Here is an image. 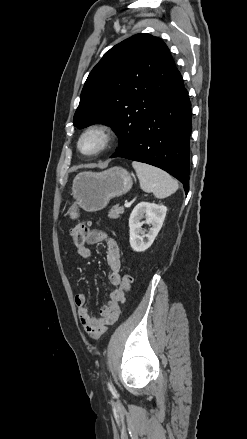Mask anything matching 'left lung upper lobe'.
I'll list each match as a JSON object with an SVG mask.
<instances>
[{
    "label": "left lung upper lobe",
    "mask_w": 247,
    "mask_h": 439,
    "mask_svg": "<svg viewBox=\"0 0 247 439\" xmlns=\"http://www.w3.org/2000/svg\"><path fill=\"white\" fill-rule=\"evenodd\" d=\"M181 79L160 38L134 35L112 47L92 69L73 124L80 129L94 123L110 125L123 150L160 97Z\"/></svg>",
    "instance_id": "left-lung-upper-lobe-1"
}]
</instances>
